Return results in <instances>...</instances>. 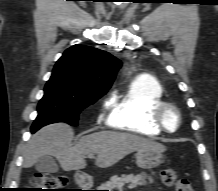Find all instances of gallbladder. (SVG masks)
Returning <instances> with one entry per match:
<instances>
[{"instance_id": "obj_1", "label": "gallbladder", "mask_w": 218, "mask_h": 191, "mask_svg": "<svg viewBox=\"0 0 218 191\" xmlns=\"http://www.w3.org/2000/svg\"><path fill=\"white\" fill-rule=\"evenodd\" d=\"M35 168L41 173H56L58 171L55 159L49 155L40 157L35 164Z\"/></svg>"}]
</instances>
